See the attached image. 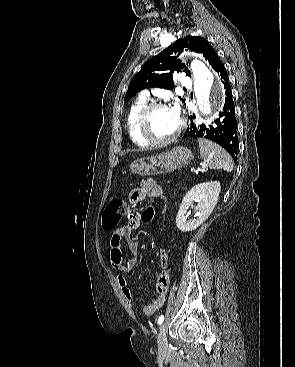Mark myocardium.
Instances as JSON below:
<instances>
[{"mask_svg": "<svg viewBox=\"0 0 295 367\" xmlns=\"http://www.w3.org/2000/svg\"><path fill=\"white\" fill-rule=\"evenodd\" d=\"M160 108H168V106L161 101L148 103L141 111L138 119V131L140 136L147 143L154 146H163L174 142L180 136L183 129V121L179 119L178 128L171 136L162 139L154 137L150 131V118L152 113Z\"/></svg>", "mask_w": 295, "mask_h": 367, "instance_id": "myocardium-1", "label": "myocardium"}]
</instances>
